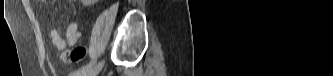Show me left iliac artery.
<instances>
[{
    "label": "left iliac artery",
    "instance_id": "left-iliac-artery-1",
    "mask_svg": "<svg viewBox=\"0 0 333 76\" xmlns=\"http://www.w3.org/2000/svg\"><path fill=\"white\" fill-rule=\"evenodd\" d=\"M94 62H90L89 64L81 67L80 69H78L77 71H75L74 73H72V75L74 76H79L81 73L85 72L86 70H88L89 68L92 67Z\"/></svg>",
    "mask_w": 333,
    "mask_h": 76
}]
</instances>
